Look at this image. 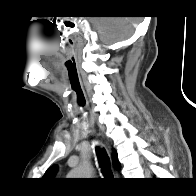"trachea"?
I'll list each match as a JSON object with an SVG mask.
<instances>
[{
  "mask_svg": "<svg viewBox=\"0 0 196 196\" xmlns=\"http://www.w3.org/2000/svg\"><path fill=\"white\" fill-rule=\"evenodd\" d=\"M96 154L98 157L99 166L101 167V172L103 173L106 179H112L113 174L111 171L110 160L105 149L96 147Z\"/></svg>",
  "mask_w": 196,
  "mask_h": 196,
  "instance_id": "1",
  "label": "trachea"
}]
</instances>
